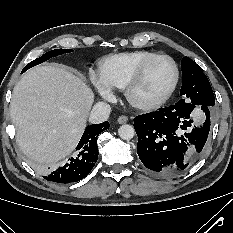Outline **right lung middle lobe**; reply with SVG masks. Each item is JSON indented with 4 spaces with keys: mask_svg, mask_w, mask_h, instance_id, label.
Returning <instances> with one entry per match:
<instances>
[{
    "mask_svg": "<svg viewBox=\"0 0 233 233\" xmlns=\"http://www.w3.org/2000/svg\"><path fill=\"white\" fill-rule=\"evenodd\" d=\"M72 51H73L72 49H55V50L49 51V52L45 53L44 55H42L40 58L35 59L32 62H30L29 64H27L24 67L22 72H25L29 68H31V67H33L35 65H38V64H40V63H42L44 61H47L48 59H50L52 57H55V56H58V55H61V54H64V53H69V52H72Z\"/></svg>",
    "mask_w": 233,
    "mask_h": 233,
    "instance_id": "dd1d6c3e",
    "label": "right lung middle lobe"
}]
</instances>
